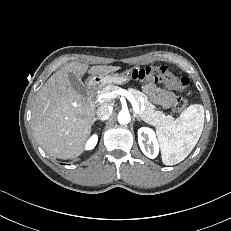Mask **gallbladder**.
<instances>
[{"label":"gallbladder","instance_id":"bac80fb5","mask_svg":"<svg viewBox=\"0 0 231 231\" xmlns=\"http://www.w3.org/2000/svg\"><path fill=\"white\" fill-rule=\"evenodd\" d=\"M68 78L70 80L72 87L75 89L77 93L81 95H84L86 93V87L84 86L83 82L78 78L77 75L73 73H69Z\"/></svg>","mask_w":231,"mask_h":231}]
</instances>
